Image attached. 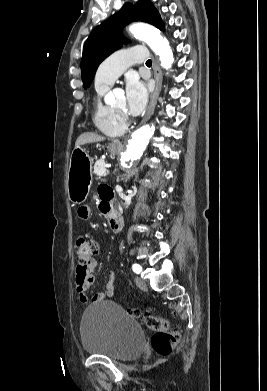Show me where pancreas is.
<instances>
[{
	"mask_svg": "<svg viewBox=\"0 0 267 391\" xmlns=\"http://www.w3.org/2000/svg\"><path fill=\"white\" fill-rule=\"evenodd\" d=\"M105 165H106V163L104 160H102V159L97 160L94 165L93 173L96 174L98 177L106 176L108 174V171H107Z\"/></svg>",
	"mask_w": 267,
	"mask_h": 391,
	"instance_id": "cf45deb5",
	"label": "pancreas"
}]
</instances>
